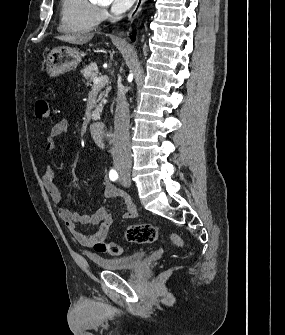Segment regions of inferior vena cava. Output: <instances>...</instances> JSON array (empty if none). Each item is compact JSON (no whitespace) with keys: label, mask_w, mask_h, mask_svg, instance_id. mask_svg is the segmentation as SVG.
Returning <instances> with one entry per match:
<instances>
[{"label":"inferior vena cava","mask_w":285,"mask_h":335,"mask_svg":"<svg viewBox=\"0 0 285 335\" xmlns=\"http://www.w3.org/2000/svg\"><path fill=\"white\" fill-rule=\"evenodd\" d=\"M125 94L126 90L121 84L117 92V106L114 118L115 154L120 162H128V164H132L129 134L130 116Z\"/></svg>","instance_id":"inferior-vena-cava-1"}]
</instances>
